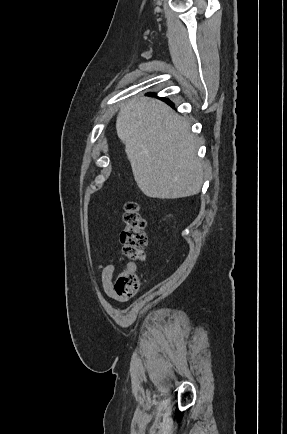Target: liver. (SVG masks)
<instances>
[{"label":"liver","mask_w":287,"mask_h":434,"mask_svg":"<svg viewBox=\"0 0 287 434\" xmlns=\"http://www.w3.org/2000/svg\"><path fill=\"white\" fill-rule=\"evenodd\" d=\"M134 179L150 198L196 195L203 183L197 140L190 126L164 102L141 97L124 105L116 121Z\"/></svg>","instance_id":"1"}]
</instances>
